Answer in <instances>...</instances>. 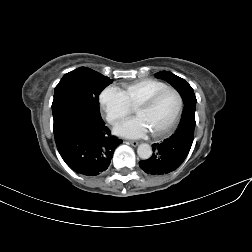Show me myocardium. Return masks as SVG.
<instances>
[{
    "label": "myocardium",
    "instance_id": "1",
    "mask_svg": "<svg viewBox=\"0 0 252 252\" xmlns=\"http://www.w3.org/2000/svg\"><path fill=\"white\" fill-rule=\"evenodd\" d=\"M173 92L176 94L177 98H178V105H177V108H176V111L174 113V115L172 116L171 120L169 121V123L162 129L160 130H157V131H151V135L154 136V137H159V136H163L167 133H169L173 127L175 126L180 114H181V111H182V108H183V104H184V101H183V97L181 95V93L173 88V87H166V88H163L161 90H158L156 92H154L153 94H151L150 96H148L147 98H145L144 100H142L140 103H138L136 105V109L138 108H142V107H148L150 106L160 95H162L163 93L165 92Z\"/></svg>",
    "mask_w": 252,
    "mask_h": 252
}]
</instances>
